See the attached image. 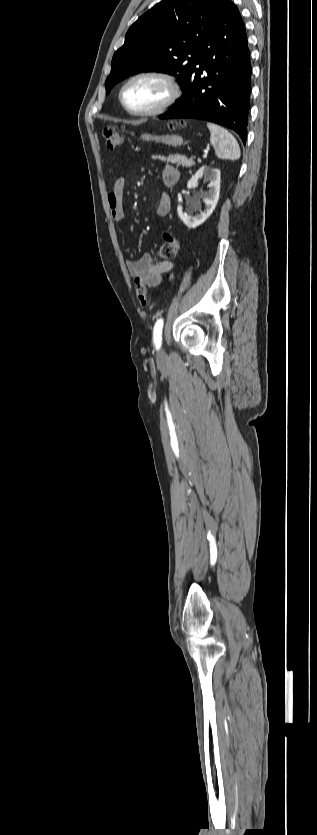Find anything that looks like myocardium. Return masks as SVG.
<instances>
[{"label":"myocardium","mask_w":317,"mask_h":835,"mask_svg":"<svg viewBox=\"0 0 317 835\" xmlns=\"http://www.w3.org/2000/svg\"><path fill=\"white\" fill-rule=\"evenodd\" d=\"M142 78H153V79H156V80L160 81L165 86V88L167 90V95L156 107H154L150 110L136 111V110L131 109L129 106H127V104L124 101L123 94H124V91L129 84H131L135 80L142 79ZM180 95H181L180 86H179L178 82L176 81V79L172 75H170L168 73H165V72H162V71H157V70H146V71H141V72L135 73L132 76H130L120 87L119 93H118V98H119V101H120V104L122 105V107L129 114H131L133 116H139V117H153V116L160 115V114L166 112L169 108H171L176 103V101L179 99Z\"/></svg>","instance_id":"myocardium-1"}]
</instances>
